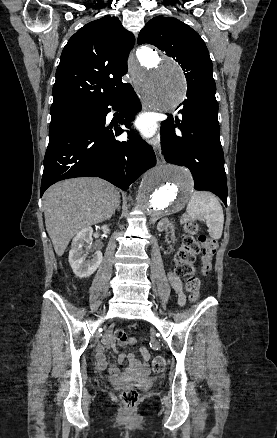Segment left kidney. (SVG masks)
<instances>
[{
	"label": "left kidney",
	"mask_w": 277,
	"mask_h": 438,
	"mask_svg": "<svg viewBox=\"0 0 277 438\" xmlns=\"http://www.w3.org/2000/svg\"><path fill=\"white\" fill-rule=\"evenodd\" d=\"M167 228H169V230H171V232L174 236L175 228H174L172 222H169L168 218H163V220H160V222H158V226H157L158 232H163V230H167Z\"/></svg>",
	"instance_id": "left-kidney-1"
}]
</instances>
